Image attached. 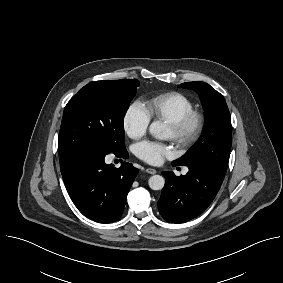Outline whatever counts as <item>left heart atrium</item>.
Segmentation results:
<instances>
[{"label":"left heart atrium","instance_id":"1","mask_svg":"<svg viewBox=\"0 0 283 283\" xmlns=\"http://www.w3.org/2000/svg\"><path fill=\"white\" fill-rule=\"evenodd\" d=\"M136 155L143 161L157 165L160 164L164 158L169 157L172 150L166 144L155 141H143L135 147Z\"/></svg>","mask_w":283,"mask_h":283}]
</instances>
